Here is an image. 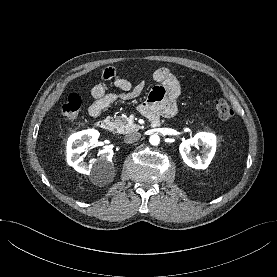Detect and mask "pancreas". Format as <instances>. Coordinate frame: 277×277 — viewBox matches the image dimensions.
<instances>
[{"label": "pancreas", "mask_w": 277, "mask_h": 277, "mask_svg": "<svg viewBox=\"0 0 277 277\" xmlns=\"http://www.w3.org/2000/svg\"><path fill=\"white\" fill-rule=\"evenodd\" d=\"M113 128L116 129V132L119 134H126L138 129L136 125L128 124L124 118L119 116L113 119Z\"/></svg>", "instance_id": "1"}]
</instances>
